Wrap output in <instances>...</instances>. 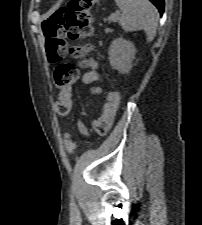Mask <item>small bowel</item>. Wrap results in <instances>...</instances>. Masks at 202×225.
Returning a JSON list of instances; mask_svg holds the SVG:
<instances>
[{
    "instance_id": "1",
    "label": "small bowel",
    "mask_w": 202,
    "mask_h": 225,
    "mask_svg": "<svg viewBox=\"0 0 202 225\" xmlns=\"http://www.w3.org/2000/svg\"><path fill=\"white\" fill-rule=\"evenodd\" d=\"M93 68L89 71H86L83 73L81 77V83L83 84H92L99 80V75L95 69L96 63L92 62ZM92 91L97 93L98 90L96 88H92ZM78 130L80 133L85 134L86 133V126L83 122H78L77 124Z\"/></svg>"
}]
</instances>
